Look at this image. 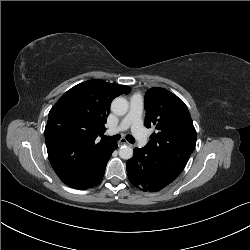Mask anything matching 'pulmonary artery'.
<instances>
[{
  "label": "pulmonary artery",
  "instance_id": "e3ab8cb5",
  "mask_svg": "<svg viewBox=\"0 0 250 250\" xmlns=\"http://www.w3.org/2000/svg\"><path fill=\"white\" fill-rule=\"evenodd\" d=\"M142 110V96L139 94L133 95L130 98V107L127 115L122 119L117 127L109 129L108 134L113 135L131 128V131L138 140L139 145L145 146L147 144V135L141 122Z\"/></svg>",
  "mask_w": 250,
  "mask_h": 250
}]
</instances>
